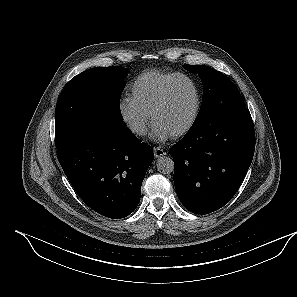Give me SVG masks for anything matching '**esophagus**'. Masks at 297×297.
<instances>
[{
	"label": "esophagus",
	"instance_id": "esophagus-1",
	"mask_svg": "<svg viewBox=\"0 0 297 297\" xmlns=\"http://www.w3.org/2000/svg\"><path fill=\"white\" fill-rule=\"evenodd\" d=\"M166 151L163 149V148H160V147H155L154 148V156L155 158H160L164 155H166Z\"/></svg>",
	"mask_w": 297,
	"mask_h": 297
}]
</instances>
